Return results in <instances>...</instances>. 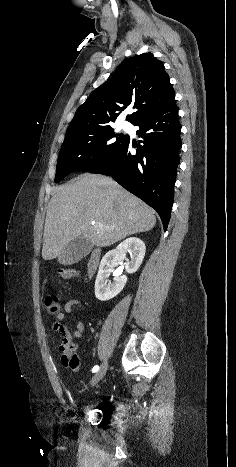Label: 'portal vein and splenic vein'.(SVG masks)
<instances>
[{"mask_svg":"<svg viewBox=\"0 0 236 467\" xmlns=\"http://www.w3.org/2000/svg\"><path fill=\"white\" fill-rule=\"evenodd\" d=\"M98 228L102 229V228H103V225H102V224H99V225H98Z\"/></svg>","mask_w":236,"mask_h":467,"instance_id":"18ae733b","label":"portal vein and splenic vein"}]
</instances>
